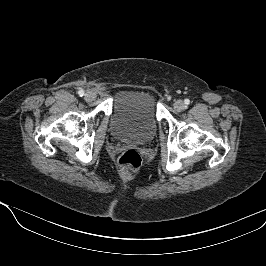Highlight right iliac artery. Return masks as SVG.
I'll return each mask as SVG.
<instances>
[{
  "mask_svg": "<svg viewBox=\"0 0 266 266\" xmlns=\"http://www.w3.org/2000/svg\"><path fill=\"white\" fill-rule=\"evenodd\" d=\"M78 94H79V96H83V95H84V90H82V89L79 90V91H78Z\"/></svg>",
  "mask_w": 266,
  "mask_h": 266,
  "instance_id": "right-iliac-artery-1",
  "label": "right iliac artery"
}]
</instances>
